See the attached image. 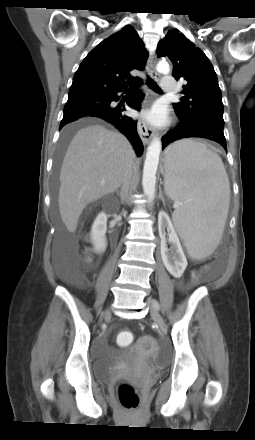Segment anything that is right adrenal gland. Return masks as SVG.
I'll use <instances>...</instances> for the list:
<instances>
[{
  "instance_id": "right-adrenal-gland-1",
  "label": "right adrenal gland",
  "mask_w": 255,
  "mask_h": 440,
  "mask_svg": "<svg viewBox=\"0 0 255 440\" xmlns=\"http://www.w3.org/2000/svg\"><path fill=\"white\" fill-rule=\"evenodd\" d=\"M116 194H117V196L118 197H120V199H121V201H122V203H123V201H124V197L122 196V193L120 192V191H116Z\"/></svg>"
}]
</instances>
